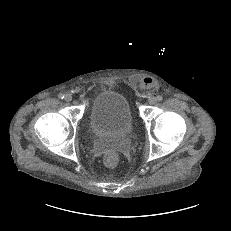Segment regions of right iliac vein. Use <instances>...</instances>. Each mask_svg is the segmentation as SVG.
Wrapping results in <instances>:
<instances>
[{"mask_svg":"<svg viewBox=\"0 0 231 231\" xmlns=\"http://www.w3.org/2000/svg\"><path fill=\"white\" fill-rule=\"evenodd\" d=\"M64 99L66 102H70L72 100V95L68 93L65 95Z\"/></svg>","mask_w":231,"mask_h":231,"instance_id":"right-iliac-vein-1","label":"right iliac vein"}]
</instances>
